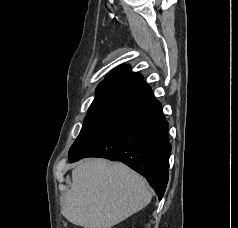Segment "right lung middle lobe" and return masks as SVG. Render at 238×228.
Instances as JSON below:
<instances>
[{
  "mask_svg": "<svg viewBox=\"0 0 238 228\" xmlns=\"http://www.w3.org/2000/svg\"><path fill=\"white\" fill-rule=\"evenodd\" d=\"M119 117L118 115L87 114L81 132L71 146L69 154L76 151Z\"/></svg>",
  "mask_w": 238,
  "mask_h": 228,
  "instance_id": "1",
  "label": "right lung middle lobe"
}]
</instances>
